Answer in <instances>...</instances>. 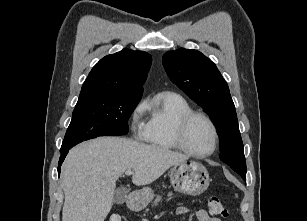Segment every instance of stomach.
Instances as JSON below:
<instances>
[{"label": "stomach", "mask_w": 307, "mask_h": 221, "mask_svg": "<svg viewBox=\"0 0 307 221\" xmlns=\"http://www.w3.org/2000/svg\"><path fill=\"white\" fill-rule=\"evenodd\" d=\"M170 181L178 192L197 196L203 193L210 184V177L206 167L196 161H184L170 170ZM154 194L150 188H143L138 191L134 207L142 208L153 198Z\"/></svg>", "instance_id": "1"}]
</instances>
